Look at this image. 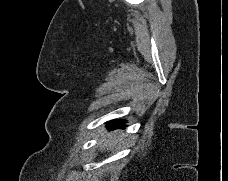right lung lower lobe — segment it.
Masks as SVG:
<instances>
[{
    "label": "right lung lower lobe",
    "mask_w": 228,
    "mask_h": 181,
    "mask_svg": "<svg viewBox=\"0 0 228 181\" xmlns=\"http://www.w3.org/2000/svg\"><path fill=\"white\" fill-rule=\"evenodd\" d=\"M125 121H121V120H113V121H110L109 123H111V126L113 128H116V127H122V123H124Z\"/></svg>",
    "instance_id": "obj_1"
}]
</instances>
